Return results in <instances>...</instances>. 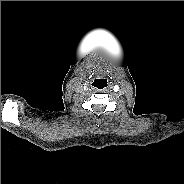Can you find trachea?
<instances>
[{"label": "trachea", "instance_id": "1", "mask_svg": "<svg viewBox=\"0 0 184 184\" xmlns=\"http://www.w3.org/2000/svg\"><path fill=\"white\" fill-rule=\"evenodd\" d=\"M96 89H103L108 86L107 80L104 78H96L92 81L91 84Z\"/></svg>", "mask_w": 184, "mask_h": 184}]
</instances>
